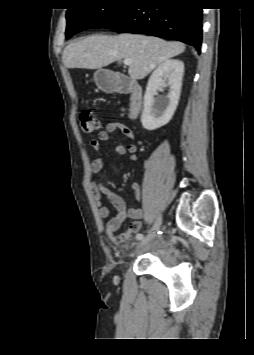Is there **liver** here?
<instances>
[{"instance_id": "1", "label": "liver", "mask_w": 254, "mask_h": 355, "mask_svg": "<svg viewBox=\"0 0 254 355\" xmlns=\"http://www.w3.org/2000/svg\"><path fill=\"white\" fill-rule=\"evenodd\" d=\"M184 50L183 43L145 35H91L66 46L62 60L70 69H101L115 61L131 59L128 74L133 79H143L156 66Z\"/></svg>"}]
</instances>
